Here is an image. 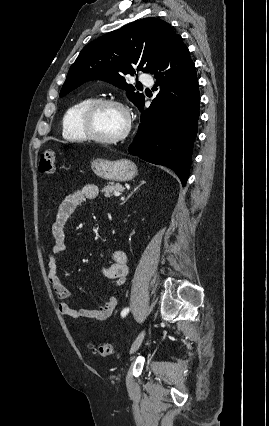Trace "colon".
<instances>
[{
	"mask_svg": "<svg viewBox=\"0 0 269 426\" xmlns=\"http://www.w3.org/2000/svg\"><path fill=\"white\" fill-rule=\"evenodd\" d=\"M56 170V159L54 151L47 150L41 153L39 157V171L43 175H51ZM91 350L100 356H109L113 351L112 343H102L91 345Z\"/></svg>",
	"mask_w": 269,
	"mask_h": 426,
	"instance_id": "colon-1",
	"label": "colon"
}]
</instances>
